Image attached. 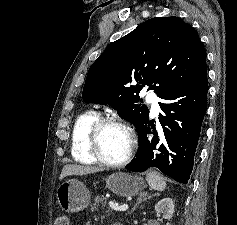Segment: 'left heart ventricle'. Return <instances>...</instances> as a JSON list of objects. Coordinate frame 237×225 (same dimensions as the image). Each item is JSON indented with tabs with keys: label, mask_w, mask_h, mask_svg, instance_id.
<instances>
[{
	"label": "left heart ventricle",
	"mask_w": 237,
	"mask_h": 225,
	"mask_svg": "<svg viewBox=\"0 0 237 225\" xmlns=\"http://www.w3.org/2000/svg\"><path fill=\"white\" fill-rule=\"evenodd\" d=\"M130 146L126 131L118 126H107L100 134V149L102 155L112 162L122 160Z\"/></svg>",
	"instance_id": "b2bd125f"
}]
</instances>
